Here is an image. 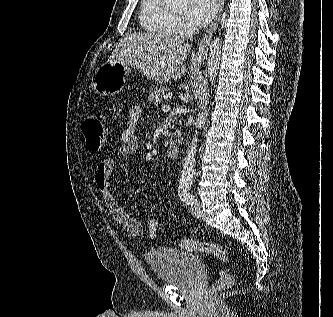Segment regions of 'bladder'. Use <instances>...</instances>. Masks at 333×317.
<instances>
[{
    "label": "bladder",
    "mask_w": 333,
    "mask_h": 317,
    "mask_svg": "<svg viewBox=\"0 0 333 317\" xmlns=\"http://www.w3.org/2000/svg\"><path fill=\"white\" fill-rule=\"evenodd\" d=\"M145 258L156 279L166 285L193 283L203 266L200 256L169 247L152 248Z\"/></svg>",
    "instance_id": "obj_1"
}]
</instances>
